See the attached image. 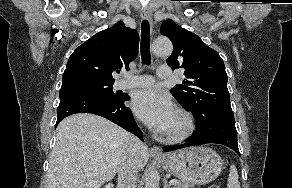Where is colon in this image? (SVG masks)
<instances>
[{"label": "colon", "mask_w": 292, "mask_h": 188, "mask_svg": "<svg viewBox=\"0 0 292 188\" xmlns=\"http://www.w3.org/2000/svg\"><path fill=\"white\" fill-rule=\"evenodd\" d=\"M209 188H220L219 186H211Z\"/></svg>", "instance_id": "5ec220e1"}]
</instances>
